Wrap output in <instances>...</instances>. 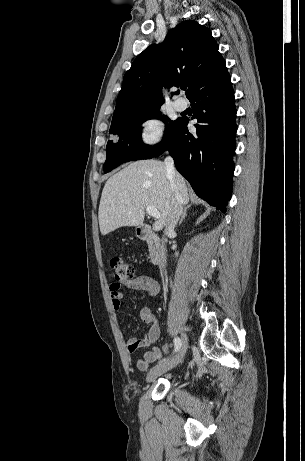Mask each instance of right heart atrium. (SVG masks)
<instances>
[{"label": "right heart atrium", "mask_w": 305, "mask_h": 461, "mask_svg": "<svg viewBox=\"0 0 305 461\" xmlns=\"http://www.w3.org/2000/svg\"><path fill=\"white\" fill-rule=\"evenodd\" d=\"M164 134V122L157 117H149L139 125L138 140L145 147H154L162 142Z\"/></svg>", "instance_id": "right-heart-atrium-1"}]
</instances>
